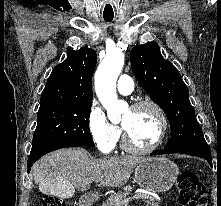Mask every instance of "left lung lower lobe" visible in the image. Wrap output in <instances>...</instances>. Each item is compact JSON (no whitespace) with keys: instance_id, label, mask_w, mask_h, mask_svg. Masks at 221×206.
<instances>
[{"instance_id":"left-lung-lower-lobe-1","label":"left lung lower lobe","mask_w":221,"mask_h":206,"mask_svg":"<svg viewBox=\"0 0 221 206\" xmlns=\"http://www.w3.org/2000/svg\"><path fill=\"white\" fill-rule=\"evenodd\" d=\"M169 153H182L193 156H198L206 159L210 166H212V157L210 150H199V149H163L157 150L151 153V155H161V154H169Z\"/></svg>"}]
</instances>
